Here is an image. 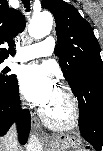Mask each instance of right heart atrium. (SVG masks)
<instances>
[{
    "label": "right heart atrium",
    "instance_id": "1",
    "mask_svg": "<svg viewBox=\"0 0 103 151\" xmlns=\"http://www.w3.org/2000/svg\"><path fill=\"white\" fill-rule=\"evenodd\" d=\"M21 100H22V103H23V104H25L24 99H23V98H21Z\"/></svg>",
    "mask_w": 103,
    "mask_h": 151
}]
</instances>
